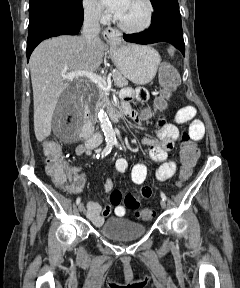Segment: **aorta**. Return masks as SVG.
Segmentation results:
<instances>
[{
	"instance_id": "1",
	"label": "aorta",
	"mask_w": 240,
	"mask_h": 288,
	"mask_svg": "<svg viewBox=\"0 0 240 288\" xmlns=\"http://www.w3.org/2000/svg\"><path fill=\"white\" fill-rule=\"evenodd\" d=\"M98 119L100 121L101 129L104 133L106 141H114L116 139L115 131L112 127L107 113L103 109H100L98 111Z\"/></svg>"
}]
</instances>
